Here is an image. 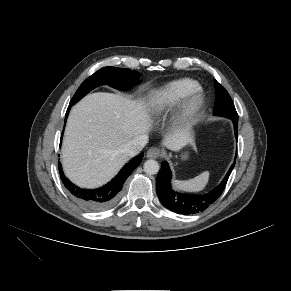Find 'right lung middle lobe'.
Segmentation results:
<instances>
[{"label":"right lung middle lobe","instance_id":"obj_1","mask_svg":"<svg viewBox=\"0 0 291 291\" xmlns=\"http://www.w3.org/2000/svg\"><path fill=\"white\" fill-rule=\"evenodd\" d=\"M140 74L126 68L104 67L86 79L76 91L69 106L77 103L92 89L99 85H109L116 89L126 90L140 83Z\"/></svg>","mask_w":291,"mask_h":291}]
</instances>
